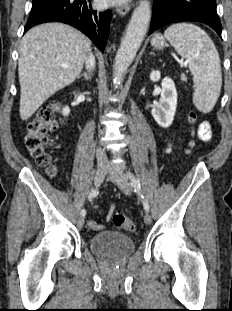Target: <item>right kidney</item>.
Returning a JSON list of instances; mask_svg holds the SVG:
<instances>
[{"label":"right kidney","mask_w":232,"mask_h":311,"mask_svg":"<svg viewBox=\"0 0 232 311\" xmlns=\"http://www.w3.org/2000/svg\"><path fill=\"white\" fill-rule=\"evenodd\" d=\"M62 113H63V115H64V116H68V115H69V113H70V109H69V107H67V106H66V107H64V108H63V112H62Z\"/></svg>","instance_id":"obj_1"}]
</instances>
